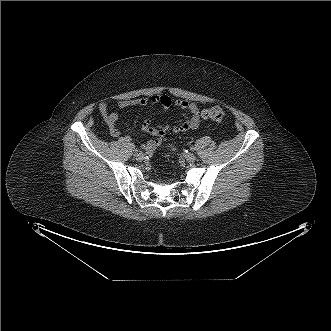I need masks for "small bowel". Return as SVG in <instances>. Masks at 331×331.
Masks as SVG:
<instances>
[{
  "label": "small bowel",
  "instance_id": "c3829d8e",
  "mask_svg": "<svg viewBox=\"0 0 331 331\" xmlns=\"http://www.w3.org/2000/svg\"><path fill=\"white\" fill-rule=\"evenodd\" d=\"M150 104L157 105L163 112H168L174 106L184 111L185 114H191V116H185L182 120L174 124L166 123L154 125L150 120H144L142 122V130L154 137V139L142 143L143 148L148 152H152L158 148L169 131L173 133H182L196 129L203 117V111H201L200 107L195 102L189 100L173 101L170 97L165 95L122 99L116 102L119 109L145 107ZM99 112L105 123L108 125L111 136L119 137L120 131L117 127V121L119 118L118 114L115 112H109L108 104L106 102L100 103ZM125 139L129 140L130 137L126 136Z\"/></svg>",
  "mask_w": 331,
  "mask_h": 331
}]
</instances>
